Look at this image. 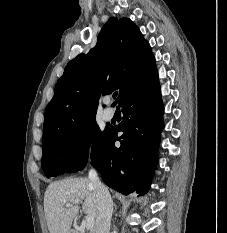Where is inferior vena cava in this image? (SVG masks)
Masks as SVG:
<instances>
[{
  "label": "inferior vena cava",
  "instance_id": "inferior-vena-cava-1",
  "mask_svg": "<svg viewBox=\"0 0 227 233\" xmlns=\"http://www.w3.org/2000/svg\"><path fill=\"white\" fill-rule=\"evenodd\" d=\"M91 181L98 201V213L96 217L95 233H110L113 202L108 189L100 182L94 168L89 170Z\"/></svg>",
  "mask_w": 227,
  "mask_h": 233
}]
</instances>
